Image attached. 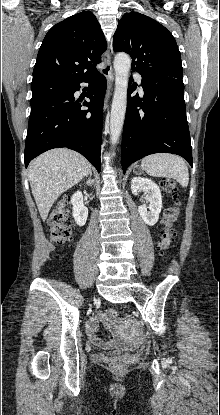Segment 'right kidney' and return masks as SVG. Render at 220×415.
<instances>
[{"mask_svg": "<svg viewBox=\"0 0 220 415\" xmlns=\"http://www.w3.org/2000/svg\"><path fill=\"white\" fill-rule=\"evenodd\" d=\"M71 204L73 210V218L77 225L83 226L88 217V209L84 206L83 195L81 191H77L71 197Z\"/></svg>", "mask_w": 220, "mask_h": 415, "instance_id": "1", "label": "right kidney"}]
</instances>
